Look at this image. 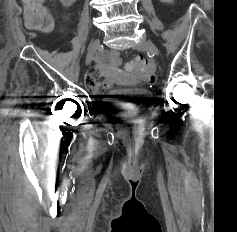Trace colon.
Returning <instances> with one entry per match:
<instances>
[{"label": "colon", "mask_w": 237, "mask_h": 232, "mask_svg": "<svg viewBox=\"0 0 237 232\" xmlns=\"http://www.w3.org/2000/svg\"><path fill=\"white\" fill-rule=\"evenodd\" d=\"M170 3L172 0H161ZM24 19L26 26L31 30L49 31L53 27V18L44 6V0H23ZM126 70L132 75L141 78L145 83L155 80L153 67L141 56L126 64Z\"/></svg>", "instance_id": "1"}]
</instances>
